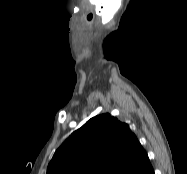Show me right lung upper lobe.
<instances>
[{
    "label": "right lung upper lobe",
    "mask_w": 187,
    "mask_h": 174,
    "mask_svg": "<svg viewBox=\"0 0 187 174\" xmlns=\"http://www.w3.org/2000/svg\"><path fill=\"white\" fill-rule=\"evenodd\" d=\"M153 168L127 124L101 114L57 149L47 174H149Z\"/></svg>",
    "instance_id": "cb5924a9"
}]
</instances>
